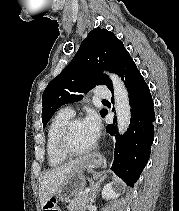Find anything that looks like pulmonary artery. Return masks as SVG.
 Segmentation results:
<instances>
[{
    "label": "pulmonary artery",
    "instance_id": "pulmonary-artery-1",
    "mask_svg": "<svg viewBox=\"0 0 179 211\" xmlns=\"http://www.w3.org/2000/svg\"><path fill=\"white\" fill-rule=\"evenodd\" d=\"M94 95L99 99H109L111 98V91L106 86H97L94 90ZM64 110L71 114L74 113L70 106L65 107Z\"/></svg>",
    "mask_w": 179,
    "mask_h": 211
}]
</instances>
